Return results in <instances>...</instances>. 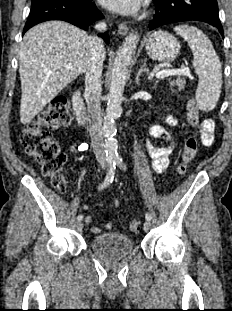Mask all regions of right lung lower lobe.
<instances>
[{"instance_id": "right-lung-lower-lobe-1", "label": "right lung lower lobe", "mask_w": 232, "mask_h": 311, "mask_svg": "<svg viewBox=\"0 0 232 311\" xmlns=\"http://www.w3.org/2000/svg\"><path fill=\"white\" fill-rule=\"evenodd\" d=\"M103 18L92 1L78 0H33L30 14L23 33L34 25L48 20L67 21L82 29H87L94 21ZM109 43L108 34H98Z\"/></svg>"}]
</instances>
